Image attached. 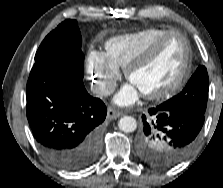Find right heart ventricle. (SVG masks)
Here are the masks:
<instances>
[{"mask_svg": "<svg viewBox=\"0 0 223 188\" xmlns=\"http://www.w3.org/2000/svg\"><path fill=\"white\" fill-rule=\"evenodd\" d=\"M170 31L163 28H146L137 32L114 36L104 44V54L118 68H124L163 33Z\"/></svg>", "mask_w": 223, "mask_h": 188, "instance_id": "obj_1", "label": "right heart ventricle"}]
</instances>
